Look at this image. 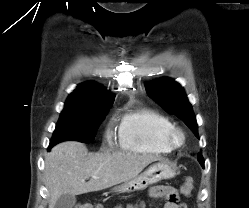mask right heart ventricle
Here are the masks:
<instances>
[{
	"instance_id": "obj_1",
	"label": "right heart ventricle",
	"mask_w": 249,
	"mask_h": 208,
	"mask_svg": "<svg viewBox=\"0 0 249 208\" xmlns=\"http://www.w3.org/2000/svg\"><path fill=\"white\" fill-rule=\"evenodd\" d=\"M173 127V122L156 110H132L122 118L119 127L120 144L124 149L140 154H168L172 149L165 135Z\"/></svg>"
}]
</instances>
